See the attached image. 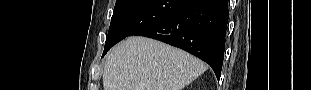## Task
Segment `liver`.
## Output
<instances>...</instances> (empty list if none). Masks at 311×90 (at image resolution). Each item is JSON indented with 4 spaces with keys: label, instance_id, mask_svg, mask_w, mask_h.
<instances>
[{
    "label": "liver",
    "instance_id": "6515ba94",
    "mask_svg": "<svg viewBox=\"0 0 311 90\" xmlns=\"http://www.w3.org/2000/svg\"><path fill=\"white\" fill-rule=\"evenodd\" d=\"M207 70L195 56L159 42L133 36L108 53L104 90H182Z\"/></svg>",
    "mask_w": 311,
    "mask_h": 90
}]
</instances>
